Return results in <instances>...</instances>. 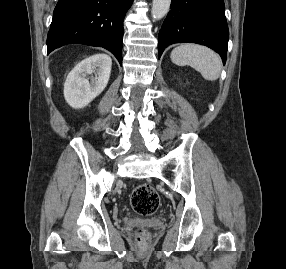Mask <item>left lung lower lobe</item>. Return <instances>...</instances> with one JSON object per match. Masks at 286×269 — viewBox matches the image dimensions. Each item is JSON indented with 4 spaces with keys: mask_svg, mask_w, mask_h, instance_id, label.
I'll return each instance as SVG.
<instances>
[{
    "mask_svg": "<svg viewBox=\"0 0 286 269\" xmlns=\"http://www.w3.org/2000/svg\"><path fill=\"white\" fill-rule=\"evenodd\" d=\"M229 31L223 0H172L158 36V57L178 42L208 46L226 62Z\"/></svg>",
    "mask_w": 286,
    "mask_h": 269,
    "instance_id": "1",
    "label": "left lung lower lobe"
}]
</instances>
